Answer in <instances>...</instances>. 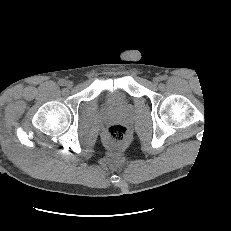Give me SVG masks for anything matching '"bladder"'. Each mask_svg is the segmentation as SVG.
<instances>
[{"instance_id":"bladder-1","label":"bladder","mask_w":231,"mask_h":231,"mask_svg":"<svg viewBox=\"0 0 231 231\" xmlns=\"http://www.w3.org/2000/svg\"><path fill=\"white\" fill-rule=\"evenodd\" d=\"M118 95H119V91L108 92L107 99L110 102H115L117 100Z\"/></svg>"}]
</instances>
